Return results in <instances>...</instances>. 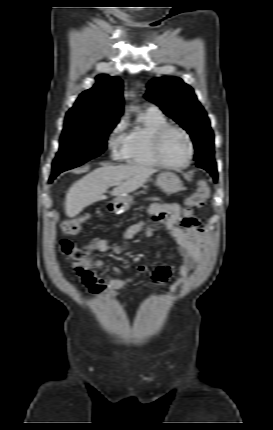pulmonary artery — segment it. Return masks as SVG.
Here are the masks:
<instances>
[{
	"instance_id": "obj_1",
	"label": "pulmonary artery",
	"mask_w": 273,
	"mask_h": 430,
	"mask_svg": "<svg viewBox=\"0 0 273 430\" xmlns=\"http://www.w3.org/2000/svg\"><path fill=\"white\" fill-rule=\"evenodd\" d=\"M151 109H157L156 107H152ZM158 110V109H157Z\"/></svg>"
}]
</instances>
